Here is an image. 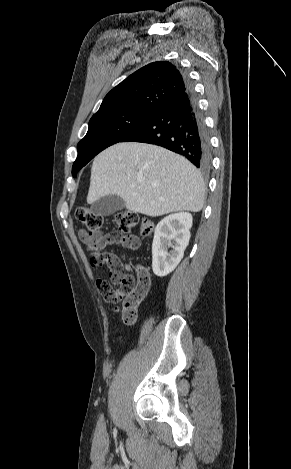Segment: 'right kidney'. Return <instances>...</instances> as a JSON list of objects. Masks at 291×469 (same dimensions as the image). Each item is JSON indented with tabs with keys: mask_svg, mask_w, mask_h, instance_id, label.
I'll return each mask as SVG.
<instances>
[{
	"mask_svg": "<svg viewBox=\"0 0 291 469\" xmlns=\"http://www.w3.org/2000/svg\"><path fill=\"white\" fill-rule=\"evenodd\" d=\"M191 227L192 215L186 212L166 216L157 224L152 244V269L156 276L168 275L180 263L189 243ZM169 247L173 248L170 252Z\"/></svg>",
	"mask_w": 291,
	"mask_h": 469,
	"instance_id": "ca27d5eb",
	"label": "right kidney"
}]
</instances>
